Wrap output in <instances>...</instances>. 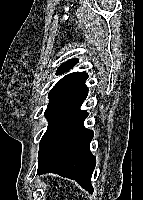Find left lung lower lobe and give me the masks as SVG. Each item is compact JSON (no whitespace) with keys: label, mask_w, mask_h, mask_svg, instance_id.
<instances>
[{"label":"left lung lower lobe","mask_w":143,"mask_h":200,"mask_svg":"<svg viewBox=\"0 0 143 200\" xmlns=\"http://www.w3.org/2000/svg\"><path fill=\"white\" fill-rule=\"evenodd\" d=\"M87 78L88 74L81 72L49 100L45 111L49 125L39 144L37 174L57 173L76 180L92 193L91 176L96 158L89 145L94 133L84 127L88 113L80 109L88 94Z\"/></svg>","instance_id":"left-lung-lower-lobe-1"}]
</instances>
